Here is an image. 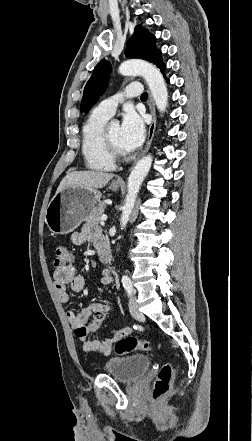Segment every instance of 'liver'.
<instances>
[{
    "label": "liver",
    "mask_w": 252,
    "mask_h": 441,
    "mask_svg": "<svg viewBox=\"0 0 252 441\" xmlns=\"http://www.w3.org/2000/svg\"><path fill=\"white\" fill-rule=\"evenodd\" d=\"M113 177L114 174L102 171H73L62 179L57 192L69 186L86 189L103 188Z\"/></svg>",
    "instance_id": "liver-1"
}]
</instances>
